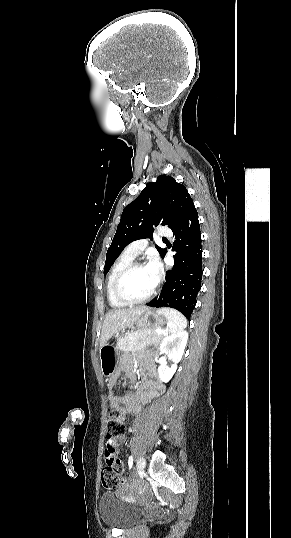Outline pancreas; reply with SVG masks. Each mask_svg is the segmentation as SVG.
<instances>
[{"label": "pancreas", "mask_w": 291, "mask_h": 538, "mask_svg": "<svg viewBox=\"0 0 291 538\" xmlns=\"http://www.w3.org/2000/svg\"><path fill=\"white\" fill-rule=\"evenodd\" d=\"M163 337L164 335L159 334L155 329H140L127 334L117 343V347L121 351L135 352L148 345H158Z\"/></svg>", "instance_id": "pancreas-1"}]
</instances>
